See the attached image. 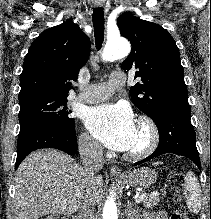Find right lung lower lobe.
I'll return each mask as SVG.
<instances>
[{"mask_svg":"<svg viewBox=\"0 0 211 219\" xmlns=\"http://www.w3.org/2000/svg\"><path fill=\"white\" fill-rule=\"evenodd\" d=\"M75 127L66 129L54 124H38L19 132L15 169L32 151L55 148L68 154L77 152Z\"/></svg>","mask_w":211,"mask_h":219,"instance_id":"right-lung-lower-lobe-1","label":"right lung lower lobe"}]
</instances>
